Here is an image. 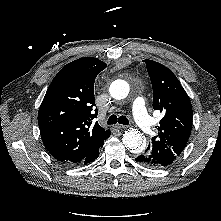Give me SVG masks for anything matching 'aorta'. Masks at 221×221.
<instances>
[{
  "label": "aorta",
  "mask_w": 221,
  "mask_h": 221,
  "mask_svg": "<svg viewBox=\"0 0 221 221\" xmlns=\"http://www.w3.org/2000/svg\"><path fill=\"white\" fill-rule=\"evenodd\" d=\"M109 91L113 98L124 99L129 94V85L124 80H115L110 85ZM122 141L124 146L133 153L142 152L146 146L143 135L134 128H130L124 132Z\"/></svg>",
  "instance_id": "obj_1"
}]
</instances>
